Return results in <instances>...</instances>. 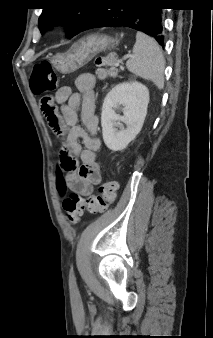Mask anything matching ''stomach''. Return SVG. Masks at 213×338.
<instances>
[{
    "label": "stomach",
    "mask_w": 213,
    "mask_h": 338,
    "mask_svg": "<svg viewBox=\"0 0 213 338\" xmlns=\"http://www.w3.org/2000/svg\"><path fill=\"white\" fill-rule=\"evenodd\" d=\"M117 41L106 35H89L74 43L63 54H57L53 66L62 74H70L91 61L99 52L113 48Z\"/></svg>",
    "instance_id": "0dacf381"
}]
</instances>
